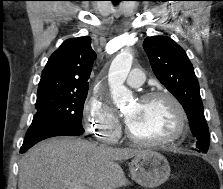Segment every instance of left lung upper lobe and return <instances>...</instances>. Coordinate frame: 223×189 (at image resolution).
Returning a JSON list of instances; mask_svg holds the SVG:
<instances>
[{"instance_id":"obj_1","label":"left lung upper lobe","mask_w":223,"mask_h":189,"mask_svg":"<svg viewBox=\"0 0 223 189\" xmlns=\"http://www.w3.org/2000/svg\"><path fill=\"white\" fill-rule=\"evenodd\" d=\"M143 46L158 80L182 104L192 133L198 140V152L206 153L210 135L198 80L187 54L169 37H147Z\"/></svg>"}]
</instances>
